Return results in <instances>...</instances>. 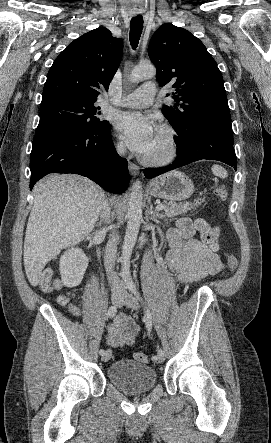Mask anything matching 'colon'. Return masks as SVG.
<instances>
[{"mask_svg":"<svg viewBox=\"0 0 271 443\" xmlns=\"http://www.w3.org/2000/svg\"><path fill=\"white\" fill-rule=\"evenodd\" d=\"M214 194L220 201H225L228 197L227 189L223 184H219L214 188ZM195 227L200 232L202 242L211 250H217L220 242V233L218 228L202 218L196 220ZM227 264L231 271H235L238 266V260L234 255L229 254L227 256ZM51 280L52 270L47 269L43 272L40 282V287L43 291L51 290ZM134 359L142 363H146L148 361L147 355L141 352L135 353Z\"/></svg>","mask_w":271,"mask_h":443,"instance_id":"colon-1","label":"colon"}]
</instances>
